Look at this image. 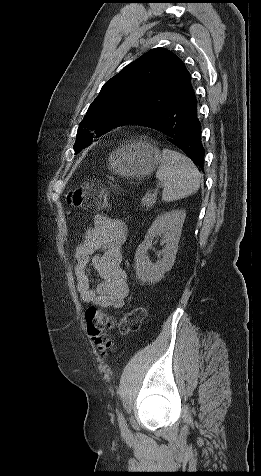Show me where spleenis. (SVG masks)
Segmentation results:
<instances>
[{
	"label": "spleen",
	"instance_id": "obj_1",
	"mask_svg": "<svg viewBox=\"0 0 261 476\" xmlns=\"http://www.w3.org/2000/svg\"><path fill=\"white\" fill-rule=\"evenodd\" d=\"M156 178L164 187L162 201L171 202L196 193L200 187L201 174L187 156L165 149L161 153Z\"/></svg>",
	"mask_w": 261,
	"mask_h": 476
}]
</instances>
